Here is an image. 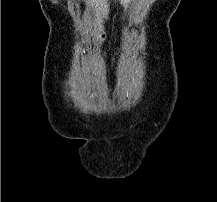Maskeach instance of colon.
<instances>
[{"instance_id": "5ec220e1", "label": "colon", "mask_w": 217, "mask_h": 202, "mask_svg": "<svg viewBox=\"0 0 217 202\" xmlns=\"http://www.w3.org/2000/svg\"><path fill=\"white\" fill-rule=\"evenodd\" d=\"M71 77H75V74H71ZM110 95L111 96H115L116 92L115 91H111ZM69 102H75V97H69Z\"/></svg>"}]
</instances>
